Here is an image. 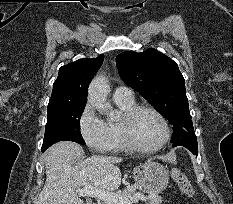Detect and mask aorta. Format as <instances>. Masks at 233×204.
Here are the masks:
<instances>
[{
  "mask_svg": "<svg viewBox=\"0 0 233 204\" xmlns=\"http://www.w3.org/2000/svg\"><path fill=\"white\" fill-rule=\"evenodd\" d=\"M109 85L104 76L95 77L89 85L88 101L99 112L114 116V111L110 103L107 102Z\"/></svg>",
  "mask_w": 233,
  "mask_h": 204,
  "instance_id": "obj_1",
  "label": "aorta"
}]
</instances>
